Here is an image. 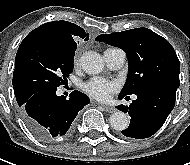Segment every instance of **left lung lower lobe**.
Returning a JSON list of instances; mask_svg holds the SVG:
<instances>
[{
    "label": "left lung lower lobe",
    "instance_id": "obj_1",
    "mask_svg": "<svg viewBox=\"0 0 190 165\" xmlns=\"http://www.w3.org/2000/svg\"><path fill=\"white\" fill-rule=\"evenodd\" d=\"M176 90L177 87L166 84L150 85L137 91V99L129 106H117L131 117L129 127L122 134L135 139L155 134L174 108ZM123 97L119 95L120 99Z\"/></svg>",
    "mask_w": 190,
    "mask_h": 165
}]
</instances>
